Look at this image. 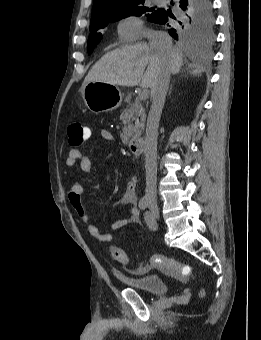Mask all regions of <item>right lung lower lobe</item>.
<instances>
[{
	"label": "right lung lower lobe",
	"mask_w": 261,
	"mask_h": 340,
	"mask_svg": "<svg viewBox=\"0 0 261 340\" xmlns=\"http://www.w3.org/2000/svg\"><path fill=\"white\" fill-rule=\"evenodd\" d=\"M171 4L175 7V10L173 11L174 14L171 10L160 9L159 14L152 22L171 27L168 31L175 39V33L172 32V29H174V26H172V19L176 20L182 12H186L189 8L212 12V0H175L171 1Z\"/></svg>",
	"instance_id": "obj_1"
}]
</instances>
